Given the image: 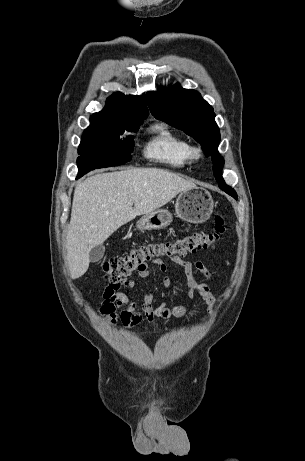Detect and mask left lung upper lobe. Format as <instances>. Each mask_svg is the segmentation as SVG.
<instances>
[{
	"instance_id": "left-lung-upper-lobe-1",
	"label": "left lung upper lobe",
	"mask_w": 305,
	"mask_h": 461,
	"mask_svg": "<svg viewBox=\"0 0 305 461\" xmlns=\"http://www.w3.org/2000/svg\"><path fill=\"white\" fill-rule=\"evenodd\" d=\"M147 102L155 118L162 120L192 136L201 145L205 155L211 156L213 173L220 189L237 199V194L225 184L222 177L224 160L218 153L219 128L213 108L202 99L200 93L183 89L178 84L147 93Z\"/></svg>"
}]
</instances>
